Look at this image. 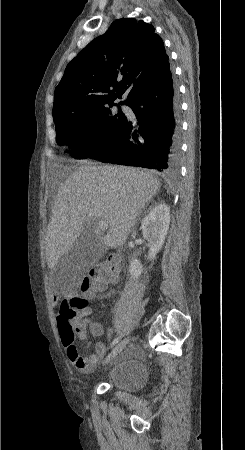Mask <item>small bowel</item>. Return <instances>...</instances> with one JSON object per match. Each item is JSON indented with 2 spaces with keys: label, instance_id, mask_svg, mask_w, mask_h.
Masks as SVG:
<instances>
[{
  "label": "small bowel",
  "instance_id": "obj_1",
  "mask_svg": "<svg viewBox=\"0 0 245 450\" xmlns=\"http://www.w3.org/2000/svg\"><path fill=\"white\" fill-rule=\"evenodd\" d=\"M114 289L105 287L94 288L93 290L85 293L86 298H110L114 295ZM77 303V301H76ZM78 307V314L80 319L83 321V330H78L80 338H84L86 329H88L92 335L101 336L104 332L103 325L95 320L90 319L92 316V309L87 306H81L76 304ZM67 348L68 358L80 369H89L93 367L98 361L99 357L106 353V347L102 342H97L95 346L96 353L91 354L87 358H83L79 354L78 345L73 341L71 343L63 342Z\"/></svg>",
  "mask_w": 245,
  "mask_h": 450
}]
</instances>
